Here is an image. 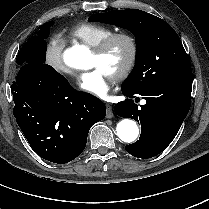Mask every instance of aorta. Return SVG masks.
Instances as JSON below:
<instances>
[{"label": "aorta", "instance_id": "obj_1", "mask_svg": "<svg viewBox=\"0 0 209 209\" xmlns=\"http://www.w3.org/2000/svg\"><path fill=\"white\" fill-rule=\"evenodd\" d=\"M63 60L71 68L86 70L90 68V51L87 46L77 44L64 51ZM116 131L117 136L126 143L134 142L139 135V128L131 119H122Z\"/></svg>", "mask_w": 209, "mask_h": 209}]
</instances>
